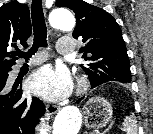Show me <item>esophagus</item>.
I'll use <instances>...</instances> for the list:
<instances>
[{
  "instance_id": "34e87169",
  "label": "esophagus",
  "mask_w": 153,
  "mask_h": 134,
  "mask_svg": "<svg viewBox=\"0 0 153 134\" xmlns=\"http://www.w3.org/2000/svg\"><path fill=\"white\" fill-rule=\"evenodd\" d=\"M46 110L49 115H53L59 110V107L47 105Z\"/></svg>"
}]
</instances>
